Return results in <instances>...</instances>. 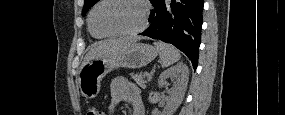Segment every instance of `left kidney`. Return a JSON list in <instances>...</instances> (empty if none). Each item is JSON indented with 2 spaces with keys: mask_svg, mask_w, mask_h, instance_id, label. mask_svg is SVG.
Returning <instances> with one entry per match:
<instances>
[{
  "mask_svg": "<svg viewBox=\"0 0 285 115\" xmlns=\"http://www.w3.org/2000/svg\"><path fill=\"white\" fill-rule=\"evenodd\" d=\"M167 78H177V80L173 83V87L171 88V94L169 99L167 100L166 106L163 110V115H173L176 109L180 106L183 101L188 79H189V69L186 64L179 63L164 72L161 73L158 79L159 87L166 86ZM158 113L153 112L152 115H156Z\"/></svg>",
  "mask_w": 285,
  "mask_h": 115,
  "instance_id": "5707ae66",
  "label": "left kidney"
}]
</instances>
